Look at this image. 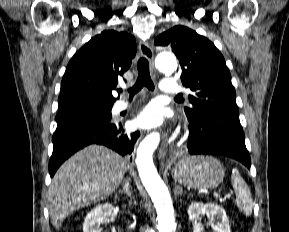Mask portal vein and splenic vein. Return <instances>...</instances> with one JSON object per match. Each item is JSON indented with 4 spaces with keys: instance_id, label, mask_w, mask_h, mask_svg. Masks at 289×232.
I'll return each instance as SVG.
<instances>
[{
    "instance_id": "obj_1",
    "label": "portal vein and splenic vein",
    "mask_w": 289,
    "mask_h": 232,
    "mask_svg": "<svg viewBox=\"0 0 289 232\" xmlns=\"http://www.w3.org/2000/svg\"><path fill=\"white\" fill-rule=\"evenodd\" d=\"M233 197V193L232 192H228L225 194V198L230 199Z\"/></svg>"
}]
</instances>
